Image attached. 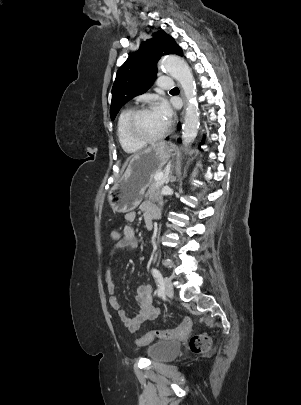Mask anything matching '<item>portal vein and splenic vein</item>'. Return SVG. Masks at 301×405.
Here are the masks:
<instances>
[{"instance_id":"18ae733b","label":"portal vein and splenic vein","mask_w":301,"mask_h":405,"mask_svg":"<svg viewBox=\"0 0 301 405\" xmlns=\"http://www.w3.org/2000/svg\"><path fill=\"white\" fill-rule=\"evenodd\" d=\"M163 178H164V173H163V172H159L158 174L155 175V178H154V179H155L156 181L160 182V183H163V182H164Z\"/></svg>"}]
</instances>
